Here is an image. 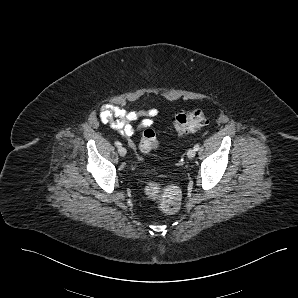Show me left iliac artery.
I'll use <instances>...</instances> for the list:
<instances>
[{
  "mask_svg": "<svg viewBox=\"0 0 298 298\" xmlns=\"http://www.w3.org/2000/svg\"><path fill=\"white\" fill-rule=\"evenodd\" d=\"M199 148H200L199 144H196V145L194 146L195 151H198Z\"/></svg>",
  "mask_w": 298,
  "mask_h": 298,
  "instance_id": "left-iliac-artery-1",
  "label": "left iliac artery"
}]
</instances>
